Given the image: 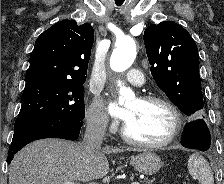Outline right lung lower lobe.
Masks as SVG:
<instances>
[{
	"label": "right lung lower lobe",
	"mask_w": 224,
	"mask_h": 184,
	"mask_svg": "<svg viewBox=\"0 0 224 184\" xmlns=\"http://www.w3.org/2000/svg\"><path fill=\"white\" fill-rule=\"evenodd\" d=\"M82 121L45 119L24 125L14 131L8 153V164L21 148L28 143L43 138H61L76 140L79 137Z\"/></svg>",
	"instance_id": "obj_1"
}]
</instances>
